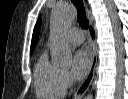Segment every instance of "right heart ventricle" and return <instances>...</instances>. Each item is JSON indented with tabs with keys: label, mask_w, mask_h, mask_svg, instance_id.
<instances>
[{
	"label": "right heart ventricle",
	"mask_w": 128,
	"mask_h": 99,
	"mask_svg": "<svg viewBox=\"0 0 128 99\" xmlns=\"http://www.w3.org/2000/svg\"><path fill=\"white\" fill-rule=\"evenodd\" d=\"M61 69L51 63L46 53L42 54L36 64L34 87L39 99H59L65 94L61 81Z\"/></svg>",
	"instance_id": "e07e8e85"
}]
</instances>
